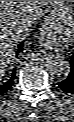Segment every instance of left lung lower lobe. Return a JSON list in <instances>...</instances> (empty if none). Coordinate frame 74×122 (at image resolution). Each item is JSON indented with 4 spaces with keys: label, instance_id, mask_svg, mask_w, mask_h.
<instances>
[{
    "label": "left lung lower lobe",
    "instance_id": "obj_1",
    "mask_svg": "<svg viewBox=\"0 0 74 122\" xmlns=\"http://www.w3.org/2000/svg\"><path fill=\"white\" fill-rule=\"evenodd\" d=\"M58 88L67 94H74V55L71 58V72L65 80L58 82Z\"/></svg>",
    "mask_w": 74,
    "mask_h": 122
}]
</instances>
